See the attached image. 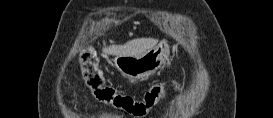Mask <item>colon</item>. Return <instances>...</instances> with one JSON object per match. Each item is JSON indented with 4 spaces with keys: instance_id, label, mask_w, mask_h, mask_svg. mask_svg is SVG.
Segmentation results:
<instances>
[{
    "instance_id": "1",
    "label": "colon",
    "mask_w": 273,
    "mask_h": 118,
    "mask_svg": "<svg viewBox=\"0 0 273 118\" xmlns=\"http://www.w3.org/2000/svg\"><path fill=\"white\" fill-rule=\"evenodd\" d=\"M94 48L87 46L81 55V66L84 80L95 97L101 101L122 109L131 116L143 117L161 101L171 87L175 90L179 85L175 81L161 82L153 85L141 99L129 95H120L113 88L105 85L104 76L97 65Z\"/></svg>"
}]
</instances>
